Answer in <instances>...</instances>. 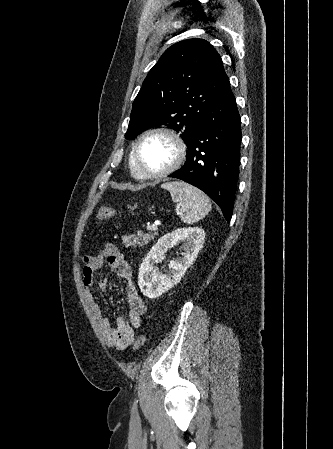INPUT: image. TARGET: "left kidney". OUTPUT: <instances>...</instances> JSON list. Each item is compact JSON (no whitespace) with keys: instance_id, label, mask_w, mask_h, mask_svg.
Returning <instances> with one entry per match:
<instances>
[{"instance_id":"1","label":"left kidney","mask_w":333,"mask_h":449,"mask_svg":"<svg viewBox=\"0 0 333 449\" xmlns=\"http://www.w3.org/2000/svg\"><path fill=\"white\" fill-rule=\"evenodd\" d=\"M205 232L199 227L179 228L161 237L145 256L138 273V285L141 292L149 298H157L172 288L185 274L187 268L196 259L202 249ZM184 252L179 260L170 262V274H159L153 263L163 258L168 249L181 244Z\"/></svg>"}]
</instances>
